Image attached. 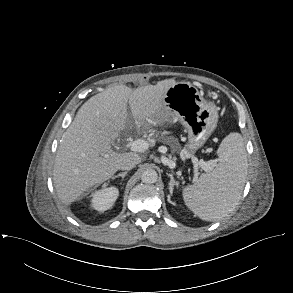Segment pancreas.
I'll use <instances>...</instances> for the list:
<instances>
[{
    "label": "pancreas",
    "mask_w": 293,
    "mask_h": 293,
    "mask_svg": "<svg viewBox=\"0 0 293 293\" xmlns=\"http://www.w3.org/2000/svg\"><path fill=\"white\" fill-rule=\"evenodd\" d=\"M172 148H173V151H176L180 148V146H179V144H177V146H173Z\"/></svg>",
    "instance_id": "pancreas-1"
}]
</instances>
